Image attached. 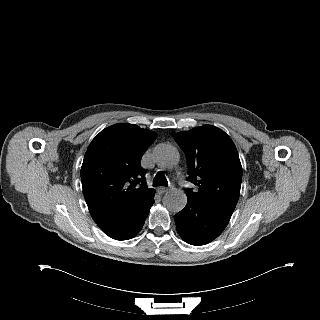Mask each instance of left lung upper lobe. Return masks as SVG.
<instances>
[{
    "instance_id": "obj_1",
    "label": "left lung upper lobe",
    "mask_w": 320,
    "mask_h": 320,
    "mask_svg": "<svg viewBox=\"0 0 320 320\" xmlns=\"http://www.w3.org/2000/svg\"><path fill=\"white\" fill-rule=\"evenodd\" d=\"M188 162V180L196 185L187 197L232 215L241 188L242 167L237 149L221 129L204 125L174 136Z\"/></svg>"
}]
</instances>
